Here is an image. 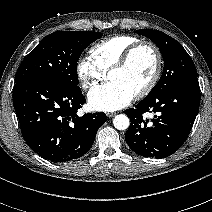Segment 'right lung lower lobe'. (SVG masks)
Masks as SVG:
<instances>
[{
	"label": "right lung lower lobe",
	"instance_id": "right-lung-lower-lobe-1",
	"mask_svg": "<svg viewBox=\"0 0 212 212\" xmlns=\"http://www.w3.org/2000/svg\"><path fill=\"white\" fill-rule=\"evenodd\" d=\"M85 102L81 90L51 79L20 81L13 89V104L24 140L35 153L52 162L83 156L106 122L104 113L79 117L77 111Z\"/></svg>",
	"mask_w": 212,
	"mask_h": 212
}]
</instances>
